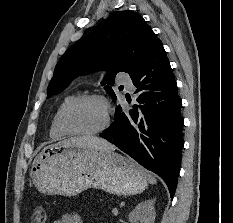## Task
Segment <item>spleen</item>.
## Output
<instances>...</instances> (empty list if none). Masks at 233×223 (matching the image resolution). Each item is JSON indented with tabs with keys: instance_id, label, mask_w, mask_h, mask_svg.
<instances>
[{
	"instance_id": "1",
	"label": "spleen",
	"mask_w": 233,
	"mask_h": 223,
	"mask_svg": "<svg viewBox=\"0 0 233 223\" xmlns=\"http://www.w3.org/2000/svg\"><path fill=\"white\" fill-rule=\"evenodd\" d=\"M147 177L149 179V183H157L156 177H153V175H151V173H147Z\"/></svg>"
}]
</instances>
